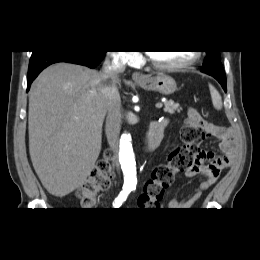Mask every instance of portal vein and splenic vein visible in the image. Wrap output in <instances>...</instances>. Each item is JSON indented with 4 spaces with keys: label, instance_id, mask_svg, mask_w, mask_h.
<instances>
[{
    "label": "portal vein and splenic vein",
    "instance_id": "portal-vein-and-splenic-vein-1",
    "mask_svg": "<svg viewBox=\"0 0 260 260\" xmlns=\"http://www.w3.org/2000/svg\"><path fill=\"white\" fill-rule=\"evenodd\" d=\"M162 106H163L162 103H157V104H156V107H157V108H162Z\"/></svg>",
    "mask_w": 260,
    "mask_h": 260
}]
</instances>
